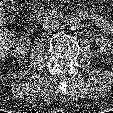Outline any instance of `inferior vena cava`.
Here are the masks:
<instances>
[{
    "label": "inferior vena cava",
    "instance_id": "1",
    "mask_svg": "<svg viewBox=\"0 0 113 113\" xmlns=\"http://www.w3.org/2000/svg\"><path fill=\"white\" fill-rule=\"evenodd\" d=\"M59 27V22L56 19H48L43 23V29L46 31L55 30Z\"/></svg>",
    "mask_w": 113,
    "mask_h": 113
}]
</instances>
